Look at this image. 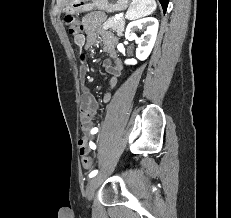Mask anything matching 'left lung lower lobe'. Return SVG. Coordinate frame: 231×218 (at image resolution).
Instances as JSON below:
<instances>
[{"label": "left lung lower lobe", "mask_w": 231, "mask_h": 218, "mask_svg": "<svg viewBox=\"0 0 231 218\" xmlns=\"http://www.w3.org/2000/svg\"><path fill=\"white\" fill-rule=\"evenodd\" d=\"M159 2L161 3L162 8H163V11H164V13H165V11H166V9H167V6H168L169 0H159Z\"/></svg>", "instance_id": "1"}]
</instances>
